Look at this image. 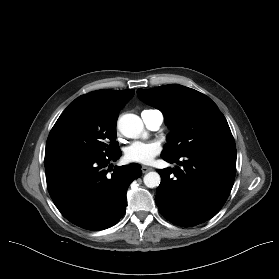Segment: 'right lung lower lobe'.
I'll return each instance as SVG.
<instances>
[{
	"instance_id": "1",
	"label": "right lung lower lobe",
	"mask_w": 279,
	"mask_h": 279,
	"mask_svg": "<svg viewBox=\"0 0 279 279\" xmlns=\"http://www.w3.org/2000/svg\"><path fill=\"white\" fill-rule=\"evenodd\" d=\"M121 154L119 149L100 156L64 154L45 158L49 194L67 220L87 230H103L119 222L125 214L127 188L142 174L141 166L135 163L115 166L108 174V164Z\"/></svg>"
}]
</instances>
